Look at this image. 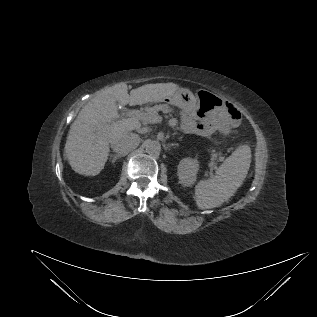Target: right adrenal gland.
<instances>
[{
  "label": "right adrenal gland",
  "mask_w": 317,
  "mask_h": 317,
  "mask_svg": "<svg viewBox=\"0 0 317 317\" xmlns=\"http://www.w3.org/2000/svg\"><path fill=\"white\" fill-rule=\"evenodd\" d=\"M121 157H122L121 155H113V154L110 155V159H111L113 164L116 162L117 159H119Z\"/></svg>",
  "instance_id": "2a0ac1e0"
}]
</instances>
